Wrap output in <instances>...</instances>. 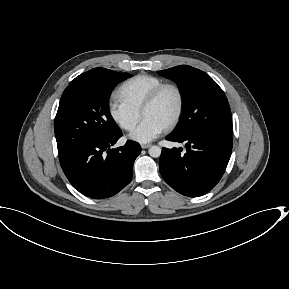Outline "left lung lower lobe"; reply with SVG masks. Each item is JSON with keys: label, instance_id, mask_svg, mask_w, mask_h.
Here are the masks:
<instances>
[{"label": "left lung lower lobe", "instance_id": "1", "mask_svg": "<svg viewBox=\"0 0 289 289\" xmlns=\"http://www.w3.org/2000/svg\"><path fill=\"white\" fill-rule=\"evenodd\" d=\"M169 141L186 143L181 148H163L159 168L163 179L180 194L197 197L210 191L221 179L232 151V137L193 132L170 134Z\"/></svg>", "mask_w": 289, "mask_h": 289}]
</instances>
